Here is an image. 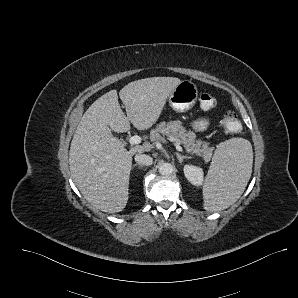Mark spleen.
<instances>
[{"label":"spleen","instance_id":"1","mask_svg":"<svg viewBox=\"0 0 298 298\" xmlns=\"http://www.w3.org/2000/svg\"><path fill=\"white\" fill-rule=\"evenodd\" d=\"M253 150L249 141L233 138L218 145L203 184L204 208L221 211L236 202L251 177Z\"/></svg>","mask_w":298,"mask_h":298}]
</instances>
